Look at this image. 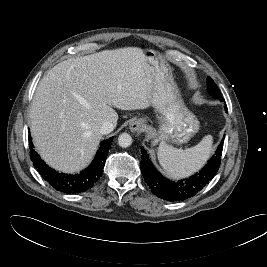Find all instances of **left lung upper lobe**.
<instances>
[{"label": "left lung upper lobe", "mask_w": 267, "mask_h": 267, "mask_svg": "<svg viewBox=\"0 0 267 267\" xmlns=\"http://www.w3.org/2000/svg\"><path fill=\"white\" fill-rule=\"evenodd\" d=\"M207 89L215 98L223 100L217 85L210 77L207 78Z\"/></svg>", "instance_id": "obj_1"}]
</instances>
